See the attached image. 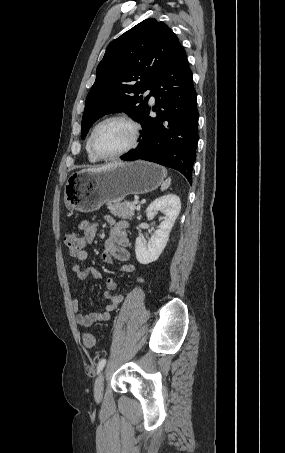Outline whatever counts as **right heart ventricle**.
I'll return each instance as SVG.
<instances>
[{
    "mask_svg": "<svg viewBox=\"0 0 285 453\" xmlns=\"http://www.w3.org/2000/svg\"><path fill=\"white\" fill-rule=\"evenodd\" d=\"M89 140H90V136H89V138L87 139V142H86V151H87L88 159H89L90 162L95 163V162H98L99 159L96 158V157L93 155V153L91 152Z\"/></svg>",
    "mask_w": 285,
    "mask_h": 453,
    "instance_id": "1",
    "label": "right heart ventricle"
}]
</instances>
